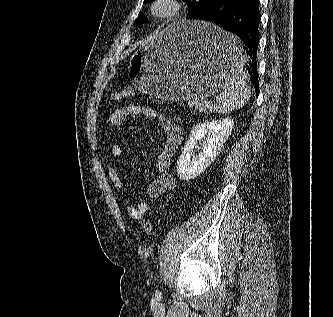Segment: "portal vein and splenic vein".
Here are the masks:
<instances>
[{"label":"portal vein and splenic vein","mask_w":333,"mask_h":317,"mask_svg":"<svg viewBox=\"0 0 333 317\" xmlns=\"http://www.w3.org/2000/svg\"><path fill=\"white\" fill-rule=\"evenodd\" d=\"M200 102L197 100L189 101L188 105L193 106V105H198ZM207 104H211V102H207Z\"/></svg>","instance_id":"obj_1"}]
</instances>
